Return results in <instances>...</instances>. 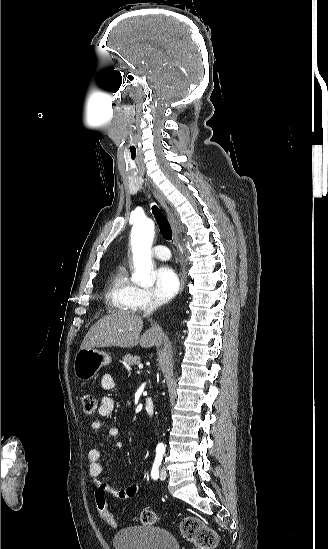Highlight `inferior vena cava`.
Returning a JSON list of instances; mask_svg holds the SVG:
<instances>
[{
  "mask_svg": "<svg viewBox=\"0 0 328 549\" xmlns=\"http://www.w3.org/2000/svg\"><path fill=\"white\" fill-rule=\"evenodd\" d=\"M162 303L159 301V299H151V303H148L146 307V315H152V313H155L157 311L158 307H161Z\"/></svg>",
  "mask_w": 328,
  "mask_h": 549,
  "instance_id": "inferior-vena-cava-1",
  "label": "inferior vena cava"
}]
</instances>
